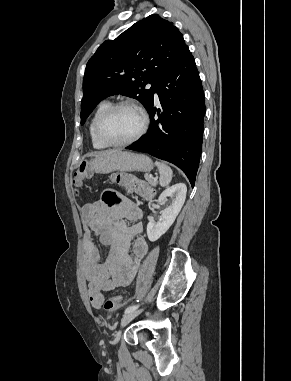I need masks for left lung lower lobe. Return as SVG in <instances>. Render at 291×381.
I'll return each instance as SVG.
<instances>
[{"instance_id": "1", "label": "left lung lower lobe", "mask_w": 291, "mask_h": 381, "mask_svg": "<svg viewBox=\"0 0 291 381\" xmlns=\"http://www.w3.org/2000/svg\"><path fill=\"white\" fill-rule=\"evenodd\" d=\"M154 92L162 106L146 108L150 115L148 132L126 149L148 153L178 166L192 187L202 151L205 101L194 57L187 48ZM157 112L158 118L155 117Z\"/></svg>"}]
</instances>
